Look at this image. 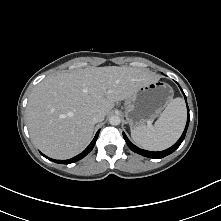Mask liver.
Instances as JSON below:
<instances>
[{
	"mask_svg": "<svg viewBox=\"0 0 221 221\" xmlns=\"http://www.w3.org/2000/svg\"><path fill=\"white\" fill-rule=\"evenodd\" d=\"M158 76L142 68L90 67L41 81L29 96L27 125L34 144L54 159H69L90 143L96 113L106 115Z\"/></svg>",
	"mask_w": 221,
	"mask_h": 221,
	"instance_id": "obj_1",
	"label": "liver"
}]
</instances>
